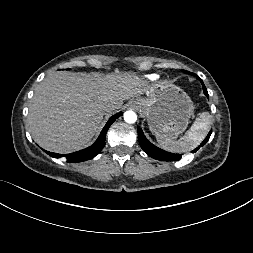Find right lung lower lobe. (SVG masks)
Masks as SVG:
<instances>
[{
	"mask_svg": "<svg viewBox=\"0 0 253 253\" xmlns=\"http://www.w3.org/2000/svg\"><path fill=\"white\" fill-rule=\"evenodd\" d=\"M121 115H122V112L117 113L114 116H112L108 120V122L106 123L105 127L103 128V130H102L101 134L99 135L98 139L96 140V142L88 148H85L83 150H80V151H77L74 153H70L67 155L52 153V152H48V151H45V152L55 158L65 157L67 162H71V163L82 162V161L92 159L97 154H99V152L104 148L107 130L109 129L111 124Z\"/></svg>",
	"mask_w": 253,
	"mask_h": 253,
	"instance_id": "1",
	"label": "right lung lower lobe"
}]
</instances>
